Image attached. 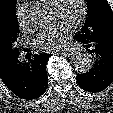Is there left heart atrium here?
<instances>
[{
	"label": "left heart atrium",
	"instance_id": "39dd6f15",
	"mask_svg": "<svg viewBox=\"0 0 113 113\" xmlns=\"http://www.w3.org/2000/svg\"><path fill=\"white\" fill-rule=\"evenodd\" d=\"M72 34L71 24L61 21L40 31L35 39L36 46L44 51H55L66 45Z\"/></svg>",
	"mask_w": 113,
	"mask_h": 113
}]
</instances>
